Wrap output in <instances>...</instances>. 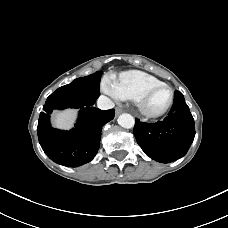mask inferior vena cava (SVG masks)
<instances>
[{
	"instance_id": "inferior-vena-cava-1",
	"label": "inferior vena cava",
	"mask_w": 228,
	"mask_h": 228,
	"mask_svg": "<svg viewBox=\"0 0 228 228\" xmlns=\"http://www.w3.org/2000/svg\"><path fill=\"white\" fill-rule=\"evenodd\" d=\"M97 107L102 110L112 109L114 103L108 97L101 95L97 100Z\"/></svg>"
}]
</instances>
